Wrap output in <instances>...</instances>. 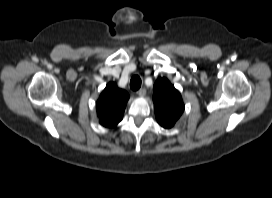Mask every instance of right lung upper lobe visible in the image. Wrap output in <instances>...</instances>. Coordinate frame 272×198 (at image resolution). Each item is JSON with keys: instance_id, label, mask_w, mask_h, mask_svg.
I'll list each match as a JSON object with an SVG mask.
<instances>
[{"instance_id": "1", "label": "right lung upper lobe", "mask_w": 272, "mask_h": 198, "mask_svg": "<svg viewBox=\"0 0 272 198\" xmlns=\"http://www.w3.org/2000/svg\"><path fill=\"white\" fill-rule=\"evenodd\" d=\"M129 95L119 89L115 83H109L96 103L100 124L115 127L123 118Z\"/></svg>"}]
</instances>
